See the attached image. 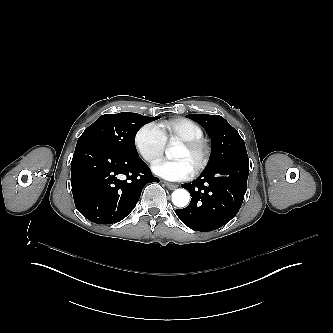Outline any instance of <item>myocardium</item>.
Masks as SVG:
<instances>
[{"label":"myocardium","instance_id":"myocardium-1","mask_svg":"<svg viewBox=\"0 0 333 333\" xmlns=\"http://www.w3.org/2000/svg\"><path fill=\"white\" fill-rule=\"evenodd\" d=\"M184 146L196 157L195 173L202 172L208 164L211 149L209 145L203 140L186 141Z\"/></svg>","mask_w":333,"mask_h":333}]
</instances>
